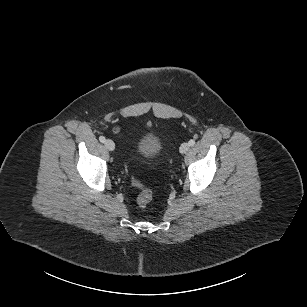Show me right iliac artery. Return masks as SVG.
<instances>
[{
  "mask_svg": "<svg viewBox=\"0 0 307 307\" xmlns=\"http://www.w3.org/2000/svg\"><path fill=\"white\" fill-rule=\"evenodd\" d=\"M99 140H100V142H102V143H104V142L106 141V139H105L104 136H100V137H99Z\"/></svg>",
  "mask_w": 307,
  "mask_h": 307,
  "instance_id": "82829eb1",
  "label": "right iliac artery"
}]
</instances>
